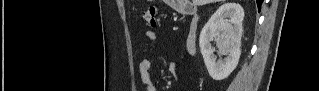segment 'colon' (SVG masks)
Listing matches in <instances>:
<instances>
[{
  "mask_svg": "<svg viewBox=\"0 0 319 91\" xmlns=\"http://www.w3.org/2000/svg\"><path fill=\"white\" fill-rule=\"evenodd\" d=\"M156 8L154 5L148 6L145 10H143L141 18L145 24L151 27H155L157 22L155 19Z\"/></svg>",
  "mask_w": 319,
  "mask_h": 91,
  "instance_id": "colon-1",
  "label": "colon"
}]
</instances>
